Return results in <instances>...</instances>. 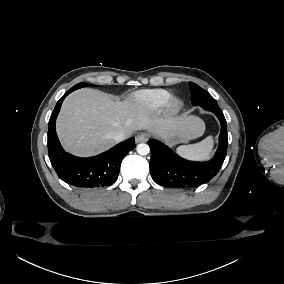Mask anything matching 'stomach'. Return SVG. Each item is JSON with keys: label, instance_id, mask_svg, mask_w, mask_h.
Listing matches in <instances>:
<instances>
[{"label": "stomach", "instance_id": "1", "mask_svg": "<svg viewBox=\"0 0 284 284\" xmlns=\"http://www.w3.org/2000/svg\"><path fill=\"white\" fill-rule=\"evenodd\" d=\"M166 141L170 146H173L178 143L187 142L188 138L185 135L184 128L181 127L168 133Z\"/></svg>", "mask_w": 284, "mask_h": 284}]
</instances>
